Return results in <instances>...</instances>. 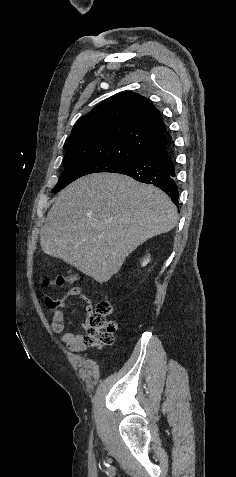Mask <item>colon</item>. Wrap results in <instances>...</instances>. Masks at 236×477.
I'll use <instances>...</instances> for the list:
<instances>
[{
    "instance_id": "5ec220e1",
    "label": "colon",
    "mask_w": 236,
    "mask_h": 477,
    "mask_svg": "<svg viewBox=\"0 0 236 477\" xmlns=\"http://www.w3.org/2000/svg\"><path fill=\"white\" fill-rule=\"evenodd\" d=\"M74 279V276L60 275L54 283L63 285ZM113 312V306L108 300H102L96 305L94 313L88 318V328L84 337L87 345L103 348L114 343L118 326L114 321L108 320Z\"/></svg>"
}]
</instances>
